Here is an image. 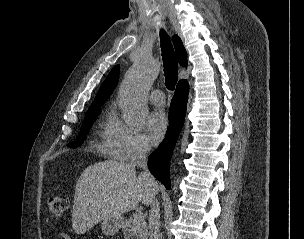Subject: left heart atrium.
I'll return each mask as SVG.
<instances>
[{"instance_id": "39dd6f15", "label": "left heart atrium", "mask_w": 304, "mask_h": 239, "mask_svg": "<svg viewBox=\"0 0 304 239\" xmlns=\"http://www.w3.org/2000/svg\"><path fill=\"white\" fill-rule=\"evenodd\" d=\"M168 128V118L164 111L158 110L151 114L147 123V140L150 145L158 144Z\"/></svg>"}]
</instances>
